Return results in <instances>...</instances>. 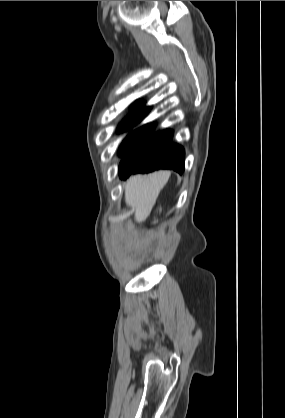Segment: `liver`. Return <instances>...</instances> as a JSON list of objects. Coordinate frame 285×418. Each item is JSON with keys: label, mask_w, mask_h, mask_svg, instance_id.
I'll return each mask as SVG.
<instances>
[{"label": "liver", "mask_w": 285, "mask_h": 418, "mask_svg": "<svg viewBox=\"0 0 285 418\" xmlns=\"http://www.w3.org/2000/svg\"><path fill=\"white\" fill-rule=\"evenodd\" d=\"M170 175V171H158L148 175L138 174L129 178L125 186V202L134 209V218L137 222H141L149 216Z\"/></svg>", "instance_id": "1"}]
</instances>
